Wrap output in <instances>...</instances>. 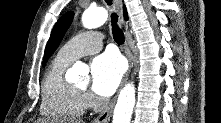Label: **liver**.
Returning a JSON list of instances; mask_svg holds the SVG:
<instances>
[{
	"label": "liver",
	"instance_id": "liver-1",
	"mask_svg": "<svg viewBox=\"0 0 221 123\" xmlns=\"http://www.w3.org/2000/svg\"><path fill=\"white\" fill-rule=\"evenodd\" d=\"M66 121V120H65ZM69 123H84L83 120H74V119H69L67 120ZM63 122V121H62ZM35 123H47L46 120L41 119V120H37Z\"/></svg>",
	"mask_w": 221,
	"mask_h": 123
}]
</instances>
